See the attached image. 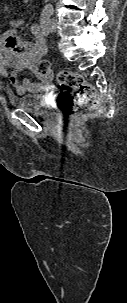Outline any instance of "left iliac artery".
I'll use <instances>...</instances> for the list:
<instances>
[{"mask_svg": "<svg viewBox=\"0 0 127 303\" xmlns=\"http://www.w3.org/2000/svg\"><path fill=\"white\" fill-rule=\"evenodd\" d=\"M53 12H54L53 6L51 4H47L44 7L41 15H43V16H46V15L51 16L53 14Z\"/></svg>", "mask_w": 127, "mask_h": 303, "instance_id": "obj_1", "label": "left iliac artery"}]
</instances>
